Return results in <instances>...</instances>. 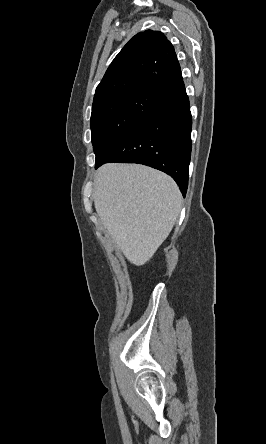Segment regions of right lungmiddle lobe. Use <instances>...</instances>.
<instances>
[{
	"mask_svg": "<svg viewBox=\"0 0 266 444\" xmlns=\"http://www.w3.org/2000/svg\"><path fill=\"white\" fill-rule=\"evenodd\" d=\"M162 104L155 95L131 92L92 107L90 125L95 165Z\"/></svg>",
	"mask_w": 266,
	"mask_h": 444,
	"instance_id": "1",
	"label": "right lung middle lobe"
}]
</instances>
